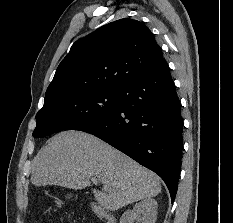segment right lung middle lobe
Here are the masks:
<instances>
[{
	"instance_id": "right-lung-middle-lobe-1",
	"label": "right lung middle lobe",
	"mask_w": 233,
	"mask_h": 223,
	"mask_svg": "<svg viewBox=\"0 0 233 223\" xmlns=\"http://www.w3.org/2000/svg\"><path fill=\"white\" fill-rule=\"evenodd\" d=\"M120 89L92 88L44 103L36 115L34 137H45L62 130H78L100 117L114 112Z\"/></svg>"
}]
</instances>
